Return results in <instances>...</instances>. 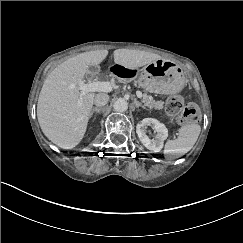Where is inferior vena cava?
I'll list each match as a JSON object with an SVG mask.
<instances>
[{
    "instance_id": "obj_1",
    "label": "inferior vena cava",
    "mask_w": 243,
    "mask_h": 243,
    "mask_svg": "<svg viewBox=\"0 0 243 243\" xmlns=\"http://www.w3.org/2000/svg\"><path fill=\"white\" fill-rule=\"evenodd\" d=\"M109 101V96L106 93H99L94 98V104L97 107L105 106Z\"/></svg>"
}]
</instances>
